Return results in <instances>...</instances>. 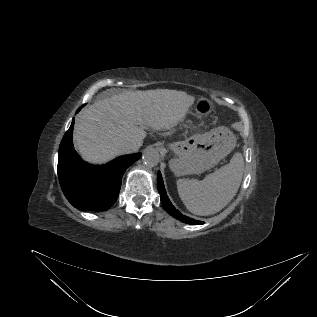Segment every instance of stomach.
<instances>
[{
  "instance_id": "1",
  "label": "stomach",
  "mask_w": 317,
  "mask_h": 317,
  "mask_svg": "<svg viewBox=\"0 0 317 317\" xmlns=\"http://www.w3.org/2000/svg\"><path fill=\"white\" fill-rule=\"evenodd\" d=\"M205 104V113L212 110L210 100L200 98L198 105ZM236 146V137L228 128L221 126L204 134H193L183 141L171 143L169 148L176 158L170 161V168L177 176L200 174L214 167Z\"/></svg>"
}]
</instances>
